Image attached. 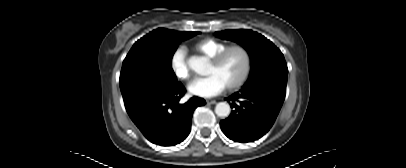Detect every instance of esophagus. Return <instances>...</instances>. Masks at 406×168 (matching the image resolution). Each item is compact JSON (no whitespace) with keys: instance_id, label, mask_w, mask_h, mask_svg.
<instances>
[{"instance_id":"esophagus-1","label":"esophagus","mask_w":406,"mask_h":168,"mask_svg":"<svg viewBox=\"0 0 406 168\" xmlns=\"http://www.w3.org/2000/svg\"><path fill=\"white\" fill-rule=\"evenodd\" d=\"M207 104H216V100H212V99H207L206 100Z\"/></svg>"}]
</instances>
